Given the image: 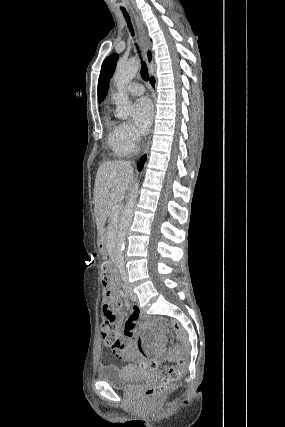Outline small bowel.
<instances>
[{"label": "small bowel", "instance_id": "1", "mask_svg": "<svg viewBox=\"0 0 285 427\" xmlns=\"http://www.w3.org/2000/svg\"><path fill=\"white\" fill-rule=\"evenodd\" d=\"M123 296L117 295L115 297V312L118 313L121 309V302H122ZM132 314L136 315L137 311L135 309H132ZM106 315L107 311L103 307V323L106 322ZM115 325L117 327L123 328V334L124 337L122 339V349L116 352V356L121 361H136L143 357V354L136 348V344L133 341V335H134V326H135V319L131 318L127 321H124L123 314H120V316L115 320Z\"/></svg>", "mask_w": 285, "mask_h": 427}]
</instances>
